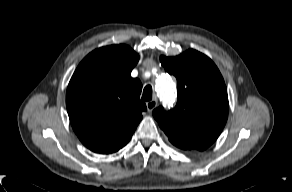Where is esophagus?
<instances>
[{"instance_id": "obj_1", "label": "esophagus", "mask_w": 292, "mask_h": 192, "mask_svg": "<svg viewBox=\"0 0 292 192\" xmlns=\"http://www.w3.org/2000/svg\"><path fill=\"white\" fill-rule=\"evenodd\" d=\"M157 106V101L156 100H151V101H148L146 103V107H147V110L149 112H152Z\"/></svg>"}]
</instances>
